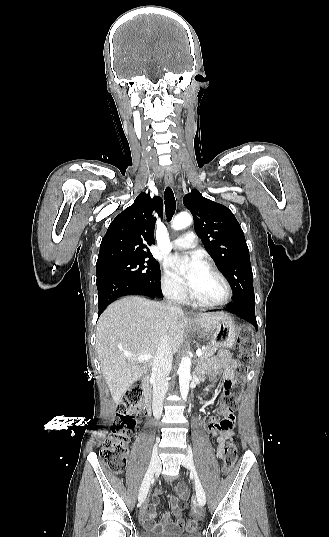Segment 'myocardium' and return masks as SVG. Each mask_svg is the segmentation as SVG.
<instances>
[{
    "label": "myocardium",
    "mask_w": 329,
    "mask_h": 537,
    "mask_svg": "<svg viewBox=\"0 0 329 537\" xmlns=\"http://www.w3.org/2000/svg\"><path fill=\"white\" fill-rule=\"evenodd\" d=\"M205 268H207L209 271L214 273L220 279V281L222 282L225 288V296L223 299L219 301H206V300L196 297L193 293H191L190 294L191 299L193 300L195 304L199 306H203V307H220V306H224L228 304L231 301L232 296H233L232 287L228 279L218 268H216L215 266L211 264H206Z\"/></svg>",
    "instance_id": "obj_1"
}]
</instances>
